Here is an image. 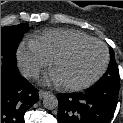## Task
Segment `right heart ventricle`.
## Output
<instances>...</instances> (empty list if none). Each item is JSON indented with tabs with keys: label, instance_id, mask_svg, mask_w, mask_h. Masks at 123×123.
Segmentation results:
<instances>
[{
	"label": "right heart ventricle",
	"instance_id": "right-heart-ventricle-1",
	"mask_svg": "<svg viewBox=\"0 0 123 123\" xmlns=\"http://www.w3.org/2000/svg\"><path fill=\"white\" fill-rule=\"evenodd\" d=\"M89 38L92 37L79 30L58 28L49 29L34 36L29 44L43 54L49 61H52L59 52L72 43Z\"/></svg>",
	"mask_w": 123,
	"mask_h": 123
}]
</instances>
